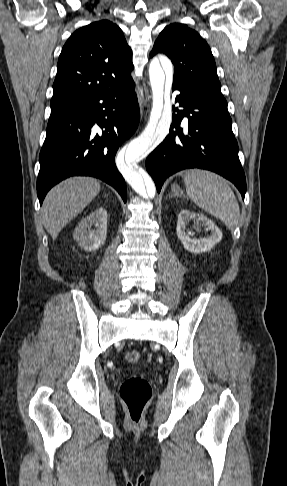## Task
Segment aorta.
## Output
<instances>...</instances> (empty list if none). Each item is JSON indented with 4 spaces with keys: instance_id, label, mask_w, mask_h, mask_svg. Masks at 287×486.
I'll use <instances>...</instances> for the list:
<instances>
[{
    "instance_id": "aorta-1",
    "label": "aorta",
    "mask_w": 287,
    "mask_h": 486,
    "mask_svg": "<svg viewBox=\"0 0 287 486\" xmlns=\"http://www.w3.org/2000/svg\"><path fill=\"white\" fill-rule=\"evenodd\" d=\"M167 91L164 93V83ZM149 78L153 94L152 110L149 122L143 132L127 147V163L118 167L126 182L141 196L153 198L156 188L152 180H144L141 172L133 163L134 158L145 154L149 149L161 143L169 132L172 122L170 88L173 79V65L165 56L153 58L149 66Z\"/></svg>"
}]
</instances>
